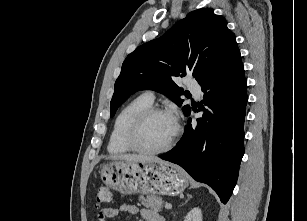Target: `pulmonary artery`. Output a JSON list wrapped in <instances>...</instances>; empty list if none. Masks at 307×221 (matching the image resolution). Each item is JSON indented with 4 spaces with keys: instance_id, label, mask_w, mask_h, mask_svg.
<instances>
[{
    "instance_id": "pulmonary-artery-1",
    "label": "pulmonary artery",
    "mask_w": 307,
    "mask_h": 221,
    "mask_svg": "<svg viewBox=\"0 0 307 221\" xmlns=\"http://www.w3.org/2000/svg\"><path fill=\"white\" fill-rule=\"evenodd\" d=\"M188 88L197 96V97H200L201 95V89H200V86L197 82H194V81H190L188 83ZM144 96L150 100V101H153L154 100V93L152 91H147L145 92Z\"/></svg>"
}]
</instances>
